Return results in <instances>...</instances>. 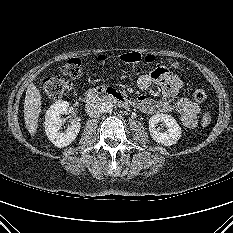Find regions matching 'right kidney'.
Returning a JSON list of instances; mask_svg holds the SVG:
<instances>
[{"label":"right kidney","mask_w":233,"mask_h":233,"mask_svg":"<svg viewBox=\"0 0 233 233\" xmlns=\"http://www.w3.org/2000/svg\"><path fill=\"white\" fill-rule=\"evenodd\" d=\"M69 103L67 101H57L52 104L46 111L45 115V132L48 139L57 147L63 148L71 144L77 137L81 123L73 120L67 128L66 133L60 132L63 120L61 115L67 114Z\"/></svg>","instance_id":"1"}]
</instances>
